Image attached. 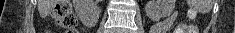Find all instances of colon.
I'll use <instances>...</instances> for the list:
<instances>
[{"label": "colon", "instance_id": "5ec220e1", "mask_svg": "<svg viewBox=\"0 0 235 33\" xmlns=\"http://www.w3.org/2000/svg\"><path fill=\"white\" fill-rule=\"evenodd\" d=\"M193 14V13H192ZM52 17L55 23L65 30V33H74L77 19L68 0H61L57 3L52 11ZM185 27L179 28L178 32H183ZM188 33H196L197 28L194 25L187 27Z\"/></svg>", "mask_w": 235, "mask_h": 33}]
</instances>
